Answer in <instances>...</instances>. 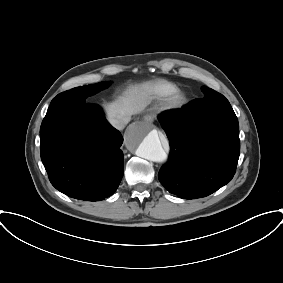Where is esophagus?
Returning a JSON list of instances; mask_svg holds the SVG:
<instances>
[{"mask_svg":"<svg viewBox=\"0 0 283 283\" xmlns=\"http://www.w3.org/2000/svg\"><path fill=\"white\" fill-rule=\"evenodd\" d=\"M143 119H144V121L151 123L154 120V116L151 115V114H147L143 117Z\"/></svg>","mask_w":283,"mask_h":283,"instance_id":"1","label":"esophagus"}]
</instances>
